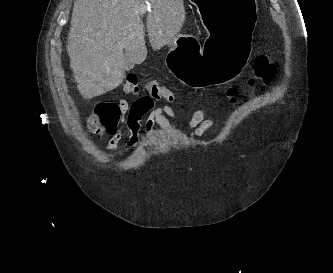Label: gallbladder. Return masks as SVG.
<instances>
[{
	"label": "gallbladder",
	"instance_id": "gallbladder-1",
	"mask_svg": "<svg viewBox=\"0 0 333 273\" xmlns=\"http://www.w3.org/2000/svg\"><path fill=\"white\" fill-rule=\"evenodd\" d=\"M126 70L132 69L134 67V62L132 61L130 55L126 52L124 53Z\"/></svg>",
	"mask_w": 333,
	"mask_h": 273
}]
</instances>
